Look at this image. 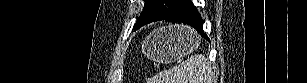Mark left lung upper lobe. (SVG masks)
Listing matches in <instances>:
<instances>
[{
  "label": "left lung upper lobe",
  "mask_w": 307,
  "mask_h": 83,
  "mask_svg": "<svg viewBox=\"0 0 307 83\" xmlns=\"http://www.w3.org/2000/svg\"><path fill=\"white\" fill-rule=\"evenodd\" d=\"M177 0H146L143 11L137 19L134 28L163 19Z\"/></svg>",
  "instance_id": "5c2ea615"
}]
</instances>
